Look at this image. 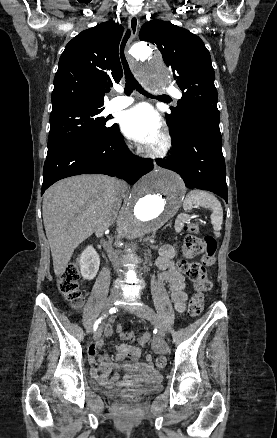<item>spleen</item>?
Wrapping results in <instances>:
<instances>
[{
	"label": "spleen",
	"mask_w": 277,
	"mask_h": 438,
	"mask_svg": "<svg viewBox=\"0 0 277 438\" xmlns=\"http://www.w3.org/2000/svg\"><path fill=\"white\" fill-rule=\"evenodd\" d=\"M193 204H198V206H202V208H210V210H212L210 216L211 224L216 238H219L223 224V210L219 200H217L215 196H212V194H209V192L192 190V192H189L188 196H186L183 206L184 210H192V208H194Z\"/></svg>",
	"instance_id": "3e777b00"
}]
</instances>
